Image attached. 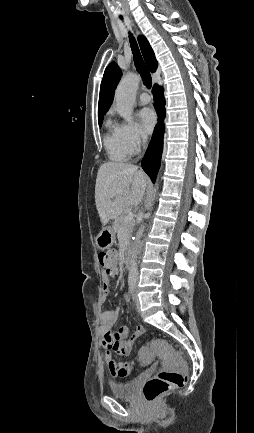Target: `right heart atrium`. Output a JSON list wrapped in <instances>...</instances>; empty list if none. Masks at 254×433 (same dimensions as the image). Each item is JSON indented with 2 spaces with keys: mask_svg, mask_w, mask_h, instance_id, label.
Instances as JSON below:
<instances>
[{
  "mask_svg": "<svg viewBox=\"0 0 254 433\" xmlns=\"http://www.w3.org/2000/svg\"><path fill=\"white\" fill-rule=\"evenodd\" d=\"M119 128L125 147L130 155L138 153L146 141V136L142 133L138 125L131 122L122 124Z\"/></svg>",
  "mask_w": 254,
  "mask_h": 433,
  "instance_id": "1",
  "label": "right heart atrium"
}]
</instances>
